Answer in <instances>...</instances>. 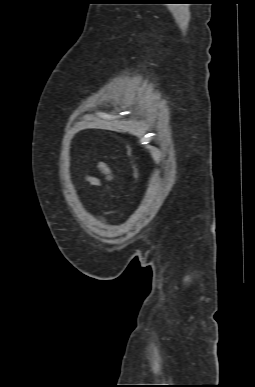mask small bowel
Masks as SVG:
<instances>
[{
	"label": "small bowel",
	"instance_id": "small-bowel-1",
	"mask_svg": "<svg viewBox=\"0 0 255 387\" xmlns=\"http://www.w3.org/2000/svg\"><path fill=\"white\" fill-rule=\"evenodd\" d=\"M101 170H102V172L107 176V177H109L110 176V171H109V169L105 166V165H101ZM92 184H98V181L95 179V178H91L90 180H89Z\"/></svg>",
	"mask_w": 255,
	"mask_h": 387
}]
</instances>
